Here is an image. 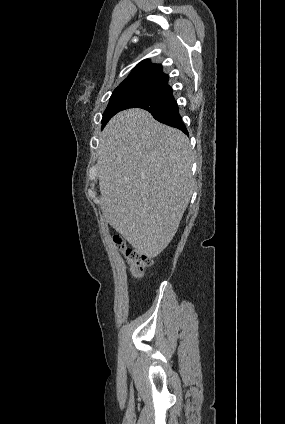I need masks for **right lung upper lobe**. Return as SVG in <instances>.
I'll return each instance as SVG.
<instances>
[{
	"mask_svg": "<svg viewBox=\"0 0 285 424\" xmlns=\"http://www.w3.org/2000/svg\"><path fill=\"white\" fill-rule=\"evenodd\" d=\"M140 83L167 85L168 76L163 73L160 64H152L145 59L136 65L131 74L118 87Z\"/></svg>",
	"mask_w": 285,
	"mask_h": 424,
	"instance_id": "right-lung-upper-lobe-1",
	"label": "right lung upper lobe"
}]
</instances>
